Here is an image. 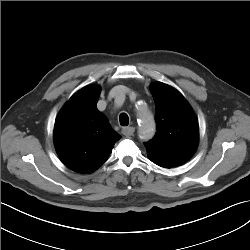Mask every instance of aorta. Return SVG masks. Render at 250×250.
<instances>
[{"instance_id": "obj_1", "label": "aorta", "mask_w": 250, "mask_h": 250, "mask_svg": "<svg viewBox=\"0 0 250 250\" xmlns=\"http://www.w3.org/2000/svg\"><path fill=\"white\" fill-rule=\"evenodd\" d=\"M138 118L140 120L139 138L143 141H148L155 134V122L153 115L144 105H142L139 107Z\"/></svg>"}]
</instances>
